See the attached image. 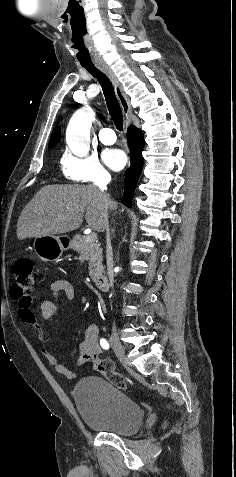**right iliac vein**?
Here are the masks:
<instances>
[{"label": "right iliac vein", "mask_w": 236, "mask_h": 477, "mask_svg": "<svg viewBox=\"0 0 236 477\" xmlns=\"http://www.w3.org/2000/svg\"><path fill=\"white\" fill-rule=\"evenodd\" d=\"M111 346L116 354V356L123 362L126 363L125 351L122 343L120 342L117 334L113 333L110 337Z\"/></svg>", "instance_id": "63e3f726"}]
</instances>
